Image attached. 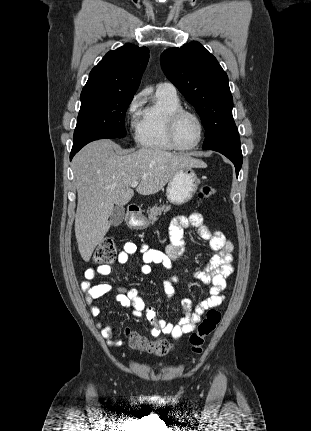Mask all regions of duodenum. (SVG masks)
Listing matches in <instances>:
<instances>
[{
	"label": "duodenum",
	"instance_id": "410a0bca",
	"mask_svg": "<svg viewBox=\"0 0 311 431\" xmlns=\"http://www.w3.org/2000/svg\"><path fill=\"white\" fill-rule=\"evenodd\" d=\"M140 214V209L136 205H131L127 209V219L132 221L135 220Z\"/></svg>",
	"mask_w": 311,
	"mask_h": 431
}]
</instances>
